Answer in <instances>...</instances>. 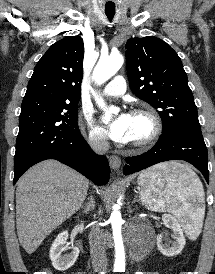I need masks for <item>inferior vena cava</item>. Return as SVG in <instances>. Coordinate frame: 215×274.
<instances>
[{
	"mask_svg": "<svg viewBox=\"0 0 215 274\" xmlns=\"http://www.w3.org/2000/svg\"><path fill=\"white\" fill-rule=\"evenodd\" d=\"M93 150L99 154H104L109 149V144L105 137L94 136L90 139ZM90 254L92 265L95 271H105L107 269L106 246L103 233L98 225H94L89 234Z\"/></svg>",
	"mask_w": 215,
	"mask_h": 274,
	"instance_id": "1",
	"label": "inferior vena cava"
}]
</instances>
